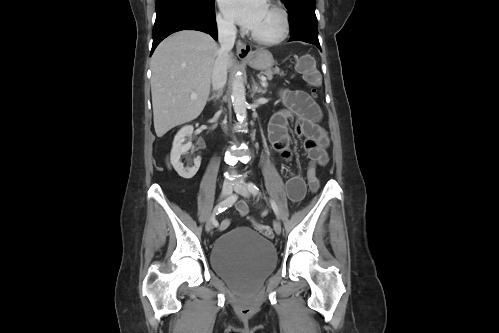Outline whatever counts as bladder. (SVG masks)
Instances as JSON below:
<instances>
[{
  "instance_id": "bladder-1",
  "label": "bladder",
  "mask_w": 499,
  "mask_h": 333,
  "mask_svg": "<svg viewBox=\"0 0 499 333\" xmlns=\"http://www.w3.org/2000/svg\"><path fill=\"white\" fill-rule=\"evenodd\" d=\"M214 272L239 288L260 284L276 268L274 245L255 230L236 226L223 232L210 250Z\"/></svg>"
}]
</instances>
